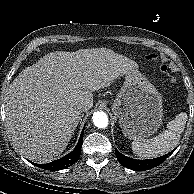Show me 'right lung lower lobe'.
I'll return each mask as SVG.
<instances>
[{"instance_id":"98d812e1","label":"right lung lower lobe","mask_w":194,"mask_h":194,"mask_svg":"<svg viewBox=\"0 0 194 194\" xmlns=\"http://www.w3.org/2000/svg\"><path fill=\"white\" fill-rule=\"evenodd\" d=\"M85 128V127H84ZM83 133L84 129L81 132L78 144L76 145L75 149L64 156L61 159L55 160L53 162L47 163V164H35L37 167H40L42 169L55 171V170H62L65 169L71 165H73L77 160L79 159L81 148H82V142H83Z\"/></svg>"}]
</instances>
